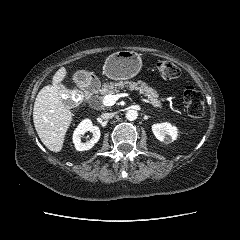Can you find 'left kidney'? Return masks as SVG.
Wrapping results in <instances>:
<instances>
[{"label": "left kidney", "mask_w": 240, "mask_h": 240, "mask_svg": "<svg viewBox=\"0 0 240 240\" xmlns=\"http://www.w3.org/2000/svg\"><path fill=\"white\" fill-rule=\"evenodd\" d=\"M155 137L165 143H171L177 138V128L170 123H159L152 126Z\"/></svg>", "instance_id": "5707ae66"}]
</instances>
